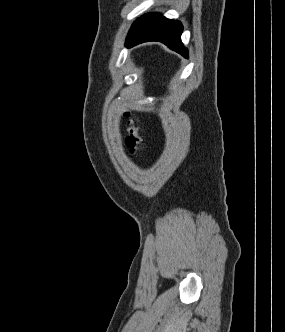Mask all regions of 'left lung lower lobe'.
Segmentation results:
<instances>
[{
  "instance_id": "obj_1",
  "label": "left lung lower lobe",
  "mask_w": 285,
  "mask_h": 332,
  "mask_svg": "<svg viewBox=\"0 0 285 332\" xmlns=\"http://www.w3.org/2000/svg\"><path fill=\"white\" fill-rule=\"evenodd\" d=\"M183 27L179 21L150 13L137 19L132 25L126 39V46L132 47L146 41H160L170 49L188 57V51L181 42Z\"/></svg>"
}]
</instances>
